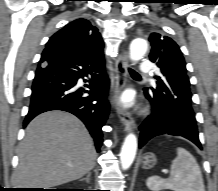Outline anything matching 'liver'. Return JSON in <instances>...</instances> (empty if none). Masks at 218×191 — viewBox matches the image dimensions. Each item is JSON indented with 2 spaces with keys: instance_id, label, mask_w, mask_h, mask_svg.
Masks as SVG:
<instances>
[{
  "instance_id": "obj_1",
  "label": "liver",
  "mask_w": 218,
  "mask_h": 191,
  "mask_svg": "<svg viewBox=\"0 0 218 191\" xmlns=\"http://www.w3.org/2000/svg\"><path fill=\"white\" fill-rule=\"evenodd\" d=\"M18 157L16 184L22 188L48 189L89 173L95 166L96 150L77 117L50 111L28 124Z\"/></svg>"
}]
</instances>
